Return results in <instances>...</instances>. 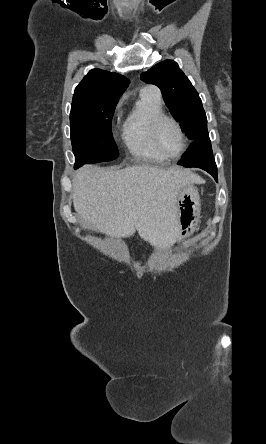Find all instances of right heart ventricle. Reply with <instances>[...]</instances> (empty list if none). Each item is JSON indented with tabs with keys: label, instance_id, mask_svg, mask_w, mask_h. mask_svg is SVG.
Listing matches in <instances>:
<instances>
[{
	"label": "right heart ventricle",
	"instance_id": "e07e8e85",
	"mask_svg": "<svg viewBox=\"0 0 266 444\" xmlns=\"http://www.w3.org/2000/svg\"><path fill=\"white\" fill-rule=\"evenodd\" d=\"M164 114L159 96L141 92L122 128V139L128 151L137 159L162 161L166 157L153 145L151 126L154 119Z\"/></svg>",
	"mask_w": 266,
	"mask_h": 444
}]
</instances>
